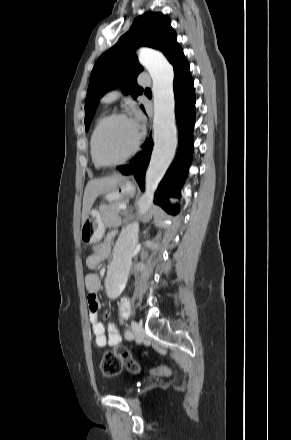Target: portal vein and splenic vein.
Masks as SVG:
<instances>
[{
	"mask_svg": "<svg viewBox=\"0 0 291 440\" xmlns=\"http://www.w3.org/2000/svg\"><path fill=\"white\" fill-rule=\"evenodd\" d=\"M119 208L124 210V209H126V206L125 205H120Z\"/></svg>",
	"mask_w": 291,
	"mask_h": 440,
	"instance_id": "portal-vein-and-splenic-vein-1",
	"label": "portal vein and splenic vein"
}]
</instances>
